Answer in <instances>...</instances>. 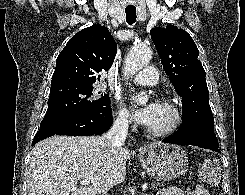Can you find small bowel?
Masks as SVG:
<instances>
[{"label":"small bowel","mask_w":245,"mask_h":195,"mask_svg":"<svg viewBox=\"0 0 245 195\" xmlns=\"http://www.w3.org/2000/svg\"><path fill=\"white\" fill-rule=\"evenodd\" d=\"M157 195H183L182 191L176 187L162 188ZM191 195H209L204 186H197Z\"/></svg>","instance_id":"c3829d8e"}]
</instances>
